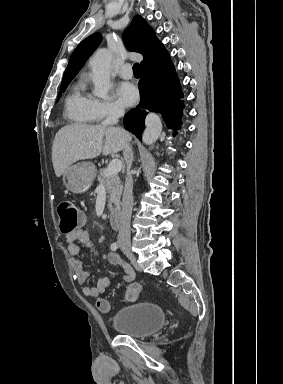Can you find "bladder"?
Returning a JSON list of instances; mask_svg holds the SVG:
<instances>
[{
    "instance_id": "bladder-1",
    "label": "bladder",
    "mask_w": 283,
    "mask_h": 384,
    "mask_svg": "<svg viewBox=\"0 0 283 384\" xmlns=\"http://www.w3.org/2000/svg\"><path fill=\"white\" fill-rule=\"evenodd\" d=\"M166 313L159 303L142 301L131 303L116 310L112 327L119 335L144 338L162 329Z\"/></svg>"
}]
</instances>
